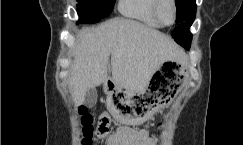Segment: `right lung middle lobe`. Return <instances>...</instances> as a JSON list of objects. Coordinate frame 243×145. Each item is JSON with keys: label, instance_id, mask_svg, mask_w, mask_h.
I'll list each match as a JSON object with an SVG mask.
<instances>
[{"label": "right lung middle lobe", "instance_id": "dd1d6c3e", "mask_svg": "<svg viewBox=\"0 0 243 145\" xmlns=\"http://www.w3.org/2000/svg\"><path fill=\"white\" fill-rule=\"evenodd\" d=\"M115 1L116 0H77V8L78 10L90 12L96 17L105 18L111 13Z\"/></svg>", "mask_w": 243, "mask_h": 145}]
</instances>
